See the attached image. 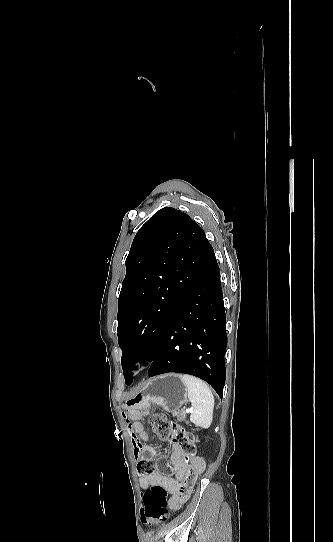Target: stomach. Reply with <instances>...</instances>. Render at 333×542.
Segmentation results:
<instances>
[{"instance_id":"stomach-1","label":"stomach","mask_w":333,"mask_h":542,"mask_svg":"<svg viewBox=\"0 0 333 542\" xmlns=\"http://www.w3.org/2000/svg\"><path fill=\"white\" fill-rule=\"evenodd\" d=\"M188 400L186 386L178 374H165L150 378L141 392L129 398L126 404L129 408L141 410L148 414L151 404L161 406L166 412H177Z\"/></svg>"}]
</instances>
